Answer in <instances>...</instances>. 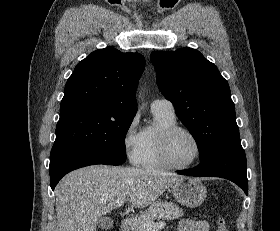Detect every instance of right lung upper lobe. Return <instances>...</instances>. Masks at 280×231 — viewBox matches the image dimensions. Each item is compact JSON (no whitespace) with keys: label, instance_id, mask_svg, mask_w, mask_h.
Returning <instances> with one entry per match:
<instances>
[{"label":"right lung upper lobe","instance_id":"obj_1","mask_svg":"<svg viewBox=\"0 0 280 231\" xmlns=\"http://www.w3.org/2000/svg\"><path fill=\"white\" fill-rule=\"evenodd\" d=\"M145 68L138 53H122L113 47L92 52L67 80L60 119L97 116L134 118L135 93Z\"/></svg>","mask_w":280,"mask_h":231}]
</instances>
